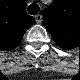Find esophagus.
I'll list each match as a JSON object with an SVG mask.
<instances>
[{
    "instance_id": "obj_1",
    "label": "esophagus",
    "mask_w": 80,
    "mask_h": 80,
    "mask_svg": "<svg viewBox=\"0 0 80 80\" xmlns=\"http://www.w3.org/2000/svg\"><path fill=\"white\" fill-rule=\"evenodd\" d=\"M35 20H36L37 23H41V21H42V16H41L40 14H37V15L35 16Z\"/></svg>"
}]
</instances>
